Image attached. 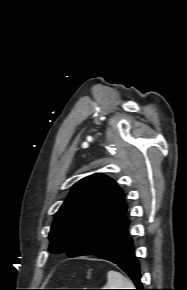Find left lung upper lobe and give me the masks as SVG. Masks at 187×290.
<instances>
[{
  "label": "left lung upper lobe",
  "instance_id": "left-lung-upper-lobe-1",
  "mask_svg": "<svg viewBox=\"0 0 187 290\" xmlns=\"http://www.w3.org/2000/svg\"><path fill=\"white\" fill-rule=\"evenodd\" d=\"M123 192L103 174L78 181L55 215L49 250L69 257L93 254L123 222Z\"/></svg>",
  "mask_w": 187,
  "mask_h": 290
}]
</instances>
